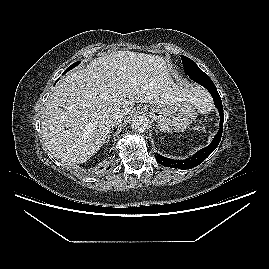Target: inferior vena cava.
<instances>
[{"instance_id":"inferior-vena-cava-1","label":"inferior vena cava","mask_w":269,"mask_h":269,"mask_svg":"<svg viewBox=\"0 0 269 269\" xmlns=\"http://www.w3.org/2000/svg\"><path fill=\"white\" fill-rule=\"evenodd\" d=\"M124 118V113L122 111H115L109 114L107 117V122L110 126L119 125Z\"/></svg>"}]
</instances>
